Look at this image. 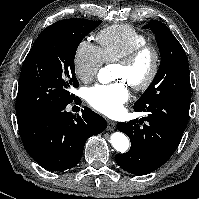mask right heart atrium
I'll return each mask as SVG.
<instances>
[{
  "mask_svg": "<svg viewBox=\"0 0 199 199\" xmlns=\"http://www.w3.org/2000/svg\"><path fill=\"white\" fill-rule=\"evenodd\" d=\"M103 65L100 48L82 40L74 53L73 66L77 78L82 82H90L98 74Z\"/></svg>",
  "mask_w": 199,
  "mask_h": 199,
  "instance_id": "1",
  "label": "right heart atrium"
}]
</instances>
